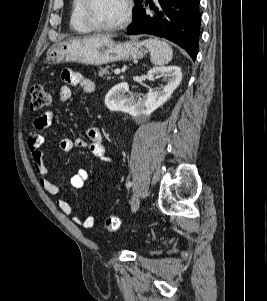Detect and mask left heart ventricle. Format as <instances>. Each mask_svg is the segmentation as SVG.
I'll use <instances>...</instances> for the list:
<instances>
[{"instance_id": "obj_1", "label": "left heart ventricle", "mask_w": 267, "mask_h": 301, "mask_svg": "<svg viewBox=\"0 0 267 301\" xmlns=\"http://www.w3.org/2000/svg\"><path fill=\"white\" fill-rule=\"evenodd\" d=\"M124 10V0H94L91 13L98 23L110 25L121 19Z\"/></svg>"}]
</instances>
